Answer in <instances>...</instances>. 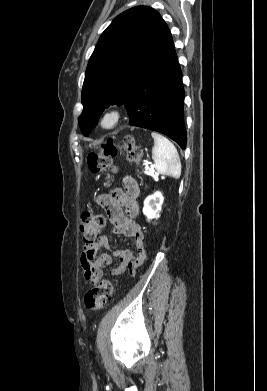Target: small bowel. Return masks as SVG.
<instances>
[{
	"label": "small bowel",
	"mask_w": 267,
	"mask_h": 391,
	"mask_svg": "<svg viewBox=\"0 0 267 391\" xmlns=\"http://www.w3.org/2000/svg\"><path fill=\"white\" fill-rule=\"evenodd\" d=\"M139 193L136 180L125 176L122 179V189L101 194L97 199L113 226V232L133 239L135 245V250L124 248L111 252L119 259V263L110 270V274L114 276L127 271L134 274L146 258L144 233L135 221L139 214ZM102 249L110 250L106 236L99 237L92 247L84 249L80 257L85 279L92 285L102 279L103 269L112 263V256L101 252Z\"/></svg>",
	"instance_id": "1"
}]
</instances>
